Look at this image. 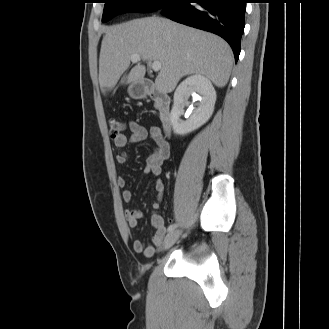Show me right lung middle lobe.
Listing matches in <instances>:
<instances>
[{
    "label": "right lung middle lobe",
    "mask_w": 329,
    "mask_h": 329,
    "mask_svg": "<svg viewBox=\"0 0 329 329\" xmlns=\"http://www.w3.org/2000/svg\"><path fill=\"white\" fill-rule=\"evenodd\" d=\"M171 0H104L102 22L127 12L149 13L163 8Z\"/></svg>",
    "instance_id": "dd1d6c3e"
}]
</instances>
